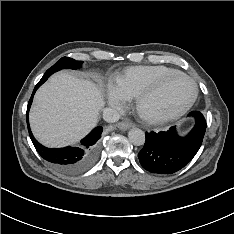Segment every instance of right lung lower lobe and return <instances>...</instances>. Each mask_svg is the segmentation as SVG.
<instances>
[{"instance_id": "right-lung-lower-lobe-1", "label": "right lung lower lobe", "mask_w": 234, "mask_h": 234, "mask_svg": "<svg viewBox=\"0 0 234 234\" xmlns=\"http://www.w3.org/2000/svg\"><path fill=\"white\" fill-rule=\"evenodd\" d=\"M47 80V79H46ZM41 79L35 86L27 107V125L30 138L40 156L52 163L58 170L66 174H77L89 168L98 154V140L101 137L102 127L93 129L84 139L81 146H68L65 148H47L41 145L32 135L29 127L28 112L36 90L46 81Z\"/></svg>"}]
</instances>
